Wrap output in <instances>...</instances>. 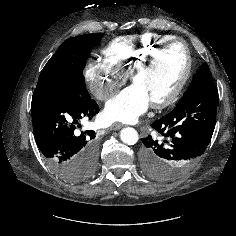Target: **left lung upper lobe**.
Instances as JSON below:
<instances>
[{
  "instance_id": "5c2ea615",
  "label": "left lung upper lobe",
  "mask_w": 236,
  "mask_h": 236,
  "mask_svg": "<svg viewBox=\"0 0 236 236\" xmlns=\"http://www.w3.org/2000/svg\"><path fill=\"white\" fill-rule=\"evenodd\" d=\"M208 81H213L212 74L209 67L205 63H203L194 75L192 83L185 92L184 97L187 96L192 90Z\"/></svg>"
}]
</instances>
